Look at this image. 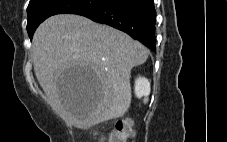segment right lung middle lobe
Instances as JSON below:
<instances>
[{
	"label": "right lung middle lobe",
	"instance_id": "1",
	"mask_svg": "<svg viewBox=\"0 0 227 142\" xmlns=\"http://www.w3.org/2000/svg\"><path fill=\"white\" fill-rule=\"evenodd\" d=\"M108 0H30L27 8V31L30 39L36 28L56 14H79L105 4Z\"/></svg>",
	"mask_w": 227,
	"mask_h": 142
}]
</instances>
